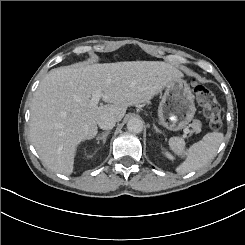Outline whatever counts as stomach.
Returning <instances> with one entry per match:
<instances>
[{"label":"stomach","mask_w":245,"mask_h":245,"mask_svg":"<svg viewBox=\"0 0 245 245\" xmlns=\"http://www.w3.org/2000/svg\"><path fill=\"white\" fill-rule=\"evenodd\" d=\"M164 91L158 113L161 123L171 130L184 127L195 113L194 95L188 83L176 76L161 86Z\"/></svg>","instance_id":"stomach-1"}]
</instances>
